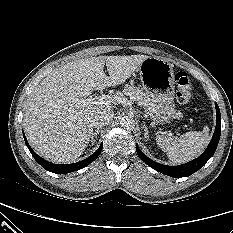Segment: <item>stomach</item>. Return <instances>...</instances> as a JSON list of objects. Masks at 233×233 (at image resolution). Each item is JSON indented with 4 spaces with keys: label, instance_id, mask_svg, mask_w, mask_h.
Wrapping results in <instances>:
<instances>
[{
    "label": "stomach",
    "instance_id": "stomach-1",
    "mask_svg": "<svg viewBox=\"0 0 233 233\" xmlns=\"http://www.w3.org/2000/svg\"><path fill=\"white\" fill-rule=\"evenodd\" d=\"M146 94L156 106L157 120L169 123L181 115L175 109V80L173 65L160 57H148L138 68Z\"/></svg>",
    "mask_w": 233,
    "mask_h": 233
}]
</instances>
